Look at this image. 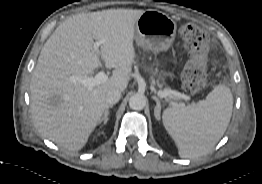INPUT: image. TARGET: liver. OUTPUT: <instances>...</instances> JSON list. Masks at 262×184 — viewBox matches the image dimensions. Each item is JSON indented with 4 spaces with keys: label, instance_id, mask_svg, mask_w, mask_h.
Returning a JSON list of instances; mask_svg holds the SVG:
<instances>
[{
    "label": "liver",
    "instance_id": "1",
    "mask_svg": "<svg viewBox=\"0 0 262 184\" xmlns=\"http://www.w3.org/2000/svg\"><path fill=\"white\" fill-rule=\"evenodd\" d=\"M144 10L108 9L77 14L62 22L44 44L31 83V111L39 132L72 152L81 150L106 109V94L123 92L135 63V23ZM115 68L89 90L72 77H92L101 65Z\"/></svg>",
    "mask_w": 262,
    "mask_h": 184
}]
</instances>
